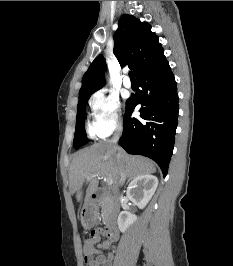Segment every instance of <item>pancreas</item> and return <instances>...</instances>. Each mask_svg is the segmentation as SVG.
Wrapping results in <instances>:
<instances>
[{"label":"pancreas","instance_id":"pancreas-1","mask_svg":"<svg viewBox=\"0 0 233 266\" xmlns=\"http://www.w3.org/2000/svg\"><path fill=\"white\" fill-rule=\"evenodd\" d=\"M101 208H102V215L105 216L106 215L107 206H106L104 201H102V203H101Z\"/></svg>","mask_w":233,"mask_h":266}]
</instances>
